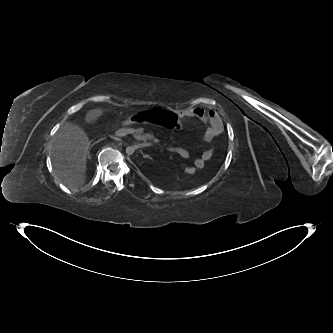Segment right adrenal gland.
Returning a JSON list of instances; mask_svg holds the SVG:
<instances>
[{
    "instance_id": "2a0ac1e0",
    "label": "right adrenal gland",
    "mask_w": 333,
    "mask_h": 333,
    "mask_svg": "<svg viewBox=\"0 0 333 333\" xmlns=\"http://www.w3.org/2000/svg\"><path fill=\"white\" fill-rule=\"evenodd\" d=\"M92 146H93V145H92ZM92 146H91V147H92ZM91 147H90V149L88 150V156H90V150H91Z\"/></svg>"
}]
</instances>
